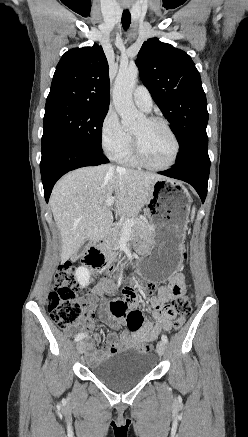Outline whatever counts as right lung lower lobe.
Masks as SVG:
<instances>
[{"instance_id":"98d812e1","label":"right lung lower lobe","mask_w":248,"mask_h":437,"mask_svg":"<svg viewBox=\"0 0 248 437\" xmlns=\"http://www.w3.org/2000/svg\"><path fill=\"white\" fill-rule=\"evenodd\" d=\"M108 162L103 151L94 150L77 141L53 139L42 144L40 170L46 202L54 184L65 173L80 167Z\"/></svg>"}]
</instances>
